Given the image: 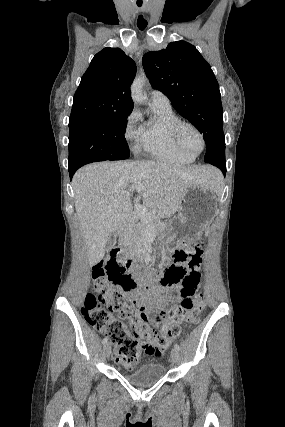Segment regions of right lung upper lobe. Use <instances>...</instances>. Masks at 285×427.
<instances>
[{"label": "right lung upper lobe", "instance_id": "cb5924a9", "mask_svg": "<svg viewBox=\"0 0 285 427\" xmlns=\"http://www.w3.org/2000/svg\"><path fill=\"white\" fill-rule=\"evenodd\" d=\"M136 64L119 48H104L92 59L73 98L69 121L133 110L130 85Z\"/></svg>", "mask_w": 285, "mask_h": 427}]
</instances>
